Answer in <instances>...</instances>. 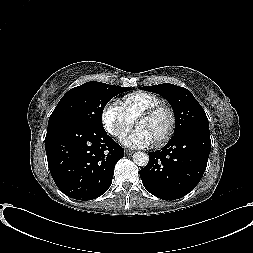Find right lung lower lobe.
<instances>
[{"mask_svg":"<svg viewBox=\"0 0 253 253\" xmlns=\"http://www.w3.org/2000/svg\"><path fill=\"white\" fill-rule=\"evenodd\" d=\"M45 149L57 187L77 200H92L112 183L124 149L104 129L65 122L47 128Z\"/></svg>","mask_w":253,"mask_h":253,"instance_id":"98d812e1","label":"right lung lower lobe"}]
</instances>
